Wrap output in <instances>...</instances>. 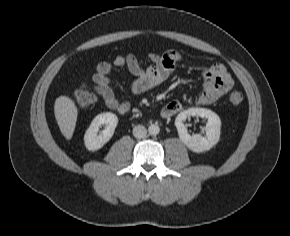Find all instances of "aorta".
<instances>
[{"label": "aorta", "mask_w": 290, "mask_h": 236, "mask_svg": "<svg viewBox=\"0 0 290 236\" xmlns=\"http://www.w3.org/2000/svg\"><path fill=\"white\" fill-rule=\"evenodd\" d=\"M148 132L150 135H157L160 132V128L156 124H152L148 127Z\"/></svg>", "instance_id": "1"}]
</instances>
